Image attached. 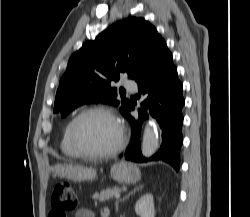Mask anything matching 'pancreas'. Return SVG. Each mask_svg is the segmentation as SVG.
I'll return each instance as SVG.
<instances>
[{
	"mask_svg": "<svg viewBox=\"0 0 250 217\" xmlns=\"http://www.w3.org/2000/svg\"><path fill=\"white\" fill-rule=\"evenodd\" d=\"M121 189L117 186L112 187V188H107L103 191L100 192V194L96 193L93 195L94 200H99L100 202H105L109 201L110 199H113V197L117 194L120 193Z\"/></svg>",
	"mask_w": 250,
	"mask_h": 217,
	"instance_id": "obj_1",
	"label": "pancreas"
}]
</instances>
